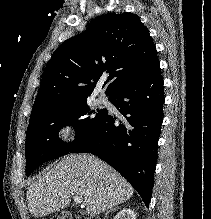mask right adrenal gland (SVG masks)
I'll list each match as a JSON object with an SVG mask.
<instances>
[{"instance_id":"obj_1","label":"right adrenal gland","mask_w":211,"mask_h":219,"mask_svg":"<svg viewBox=\"0 0 211 219\" xmlns=\"http://www.w3.org/2000/svg\"><path fill=\"white\" fill-rule=\"evenodd\" d=\"M118 208H119V207H115V208H111L110 210H108V211L105 213V217H107L110 212L115 211V210H117Z\"/></svg>"}]
</instances>
